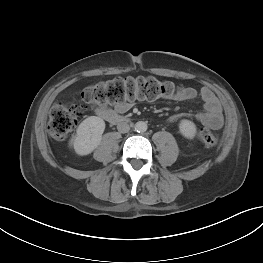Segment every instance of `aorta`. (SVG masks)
Segmentation results:
<instances>
[{
	"mask_svg": "<svg viewBox=\"0 0 263 263\" xmlns=\"http://www.w3.org/2000/svg\"><path fill=\"white\" fill-rule=\"evenodd\" d=\"M134 128H135V130L137 131V132H145L146 130H147V128H148V126H147V123L146 122H144V121H138L136 124H135V126H134Z\"/></svg>",
	"mask_w": 263,
	"mask_h": 263,
	"instance_id": "762f6f07",
	"label": "aorta"
}]
</instances>
